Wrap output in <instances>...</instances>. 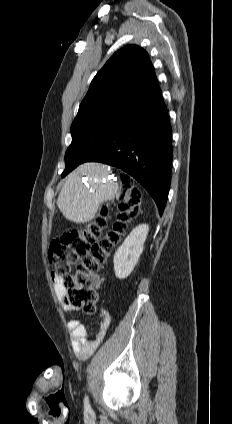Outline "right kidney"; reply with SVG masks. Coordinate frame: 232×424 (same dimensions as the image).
Instances as JSON below:
<instances>
[{"instance_id":"obj_1","label":"right kidney","mask_w":232,"mask_h":424,"mask_svg":"<svg viewBox=\"0 0 232 424\" xmlns=\"http://www.w3.org/2000/svg\"><path fill=\"white\" fill-rule=\"evenodd\" d=\"M146 224L137 226L125 239L114 255V271L119 279L128 277L143 252V245L148 234Z\"/></svg>"}]
</instances>
